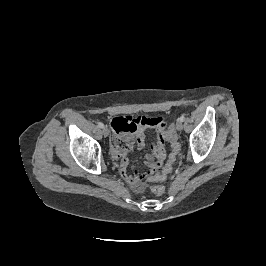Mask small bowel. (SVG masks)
<instances>
[{
	"label": "small bowel",
	"mask_w": 266,
	"mask_h": 266,
	"mask_svg": "<svg viewBox=\"0 0 266 266\" xmlns=\"http://www.w3.org/2000/svg\"><path fill=\"white\" fill-rule=\"evenodd\" d=\"M111 127L113 130V153L119 161L120 175L135 192H141L144 189L143 179L147 178L148 173H155L162 166L166 157L167 124L160 117L119 116L111 121ZM146 127H153L157 131V138L151 145L152 154L147 158L149 171L143 175L136 170L131 175L128 172L129 153L133 145L140 149L145 146L143 130Z\"/></svg>",
	"instance_id": "1"
}]
</instances>
